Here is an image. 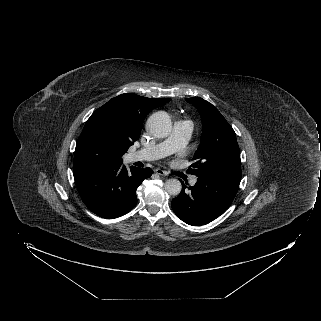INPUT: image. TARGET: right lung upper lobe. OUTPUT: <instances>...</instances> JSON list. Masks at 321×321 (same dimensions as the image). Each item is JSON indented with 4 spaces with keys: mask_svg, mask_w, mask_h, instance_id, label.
Returning a JSON list of instances; mask_svg holds the SVG:
<instances>
[{
    "mask_svg": "<svg viewBox=\"0 0 321 321\" xmlns=\"http://www.w3.org/2000/svg\"><path fill=\"white\" fill-rule=\"evenodd\" d=\"M169 101L170 99L145 98L133 93L121 94L98 108L87 122H104L127 151L139 139L147 114Z\"/></svg>",
    "mask_w": 321,
    "mask_h": 321,
    "instance_id": "right-lung-upper-lobe-1",
    "label": "right lung upper lobe"
}]
</instances>
